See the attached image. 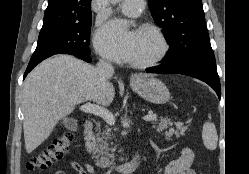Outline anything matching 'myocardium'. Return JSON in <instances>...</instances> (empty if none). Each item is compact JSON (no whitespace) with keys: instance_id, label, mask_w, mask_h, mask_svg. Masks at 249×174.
Segmentation results:
<instances>
[{"instance_id":"myocardium-1","label":"myocardium","mask_w":249,"mask_h":174,"mask_svg":"<svg viewBox=\"0 0 249 174\" xmlns=\"http://www.w3.org/2000/svg\"><path fill=\"white\" fill-rule=\"evenodd\" d=\"M138 31H148L154 34L160 44V50L154 56L142 61L133 62L132 65L138 68H145L156 65L163 61L170 51V43L164 32L158 26L150 23L142 24L138 28Z\"/></svg>"}]
</instances>
